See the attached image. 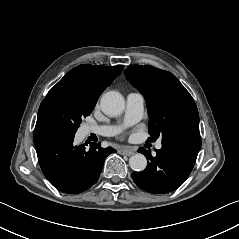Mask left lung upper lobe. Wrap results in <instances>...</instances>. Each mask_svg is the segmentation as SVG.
I'll use <instances>...</instances> for the list:
<instances>
[{
  "label": "left lung upper lobe",
  "mask_w": 239,
  "mask_h": 239,
  "mask_svg": "<svg viewBox=\"0 0 239 239\" xmlns=\"http://www.w3.org/2000/svg\"><path fill=\"white\" fill-rule=\"evenodd\" d=\"M125 75L146 100L151 136L148 141L181 131L199 132L196 104L173 74L152 66L131 65Z\"/></svg>",
  "instance_id": "obj_1"
}]
</instances>
